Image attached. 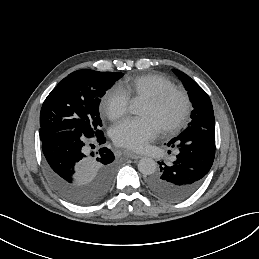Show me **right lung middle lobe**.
I'll return each mask as SVG.
<instances>
[{
	"label": "right lung middle lobe",
	"instance_id": "1",
	"mask_svg": "<svg viewBox=\"0 0 259 259\" xmlns=\"http://www.w3.org/2000/svg\"><path fill=\"white\" fill-rule=\"evenodd\" d=\"M122 76L123 73L89 69L69 74L50 92L42 105L40 140L67 130L88 138L100 134V98Z\"/></svg>",
	"mask_w": 259,
	"mask_h": 259
}]
</instances>
